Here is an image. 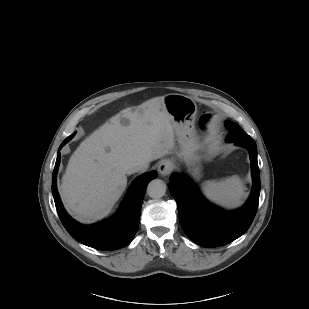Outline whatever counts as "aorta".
Here are the masks:
<instances>
[{
  "label": "aorta",
  "mask_w": 309,
  "mask_h": 309,
  "mask_svg": "<svg viewBox=\"0 0 309 309\" xmlns=\"http://www.w3.org/2000/svg\"><path fill=\"white\" fill-rule=\"evenodd\" d=\"M166 193V184L160 179H154L147 186V194L149 197L159 199Z\"/></svg>",
  "instance_id": "aorta-1"
}]
</instances>
